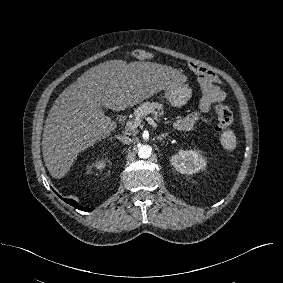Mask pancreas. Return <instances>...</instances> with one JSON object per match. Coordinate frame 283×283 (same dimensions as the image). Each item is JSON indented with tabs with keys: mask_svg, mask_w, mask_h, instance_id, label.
Segmentation results:
<instances>
[{
	"mask_svg": "<svg viewBox=\"0 0 283 283\" xmlns=\"http://www.w3.org/2000/svg\"><path fill=\"white\" fill-rule=\"evenodd\" d=\"M148 114H154V118L156 120H160L159 117L165 114V112L163 111V105L158 103L144 102L137 109H135V120L133 122H136L138 125H140L141 120ZM131 130L135 131V129Z\"/></svg>",
	"mask_w": 283,
	"mask_h": 283,
	"instance_id": "1",
	"label": "pancreas"
}]
</instances>
